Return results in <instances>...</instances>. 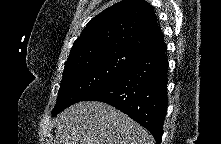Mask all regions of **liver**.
Wrapping results in <instances>:
<instances>
[{
    "label": "liver",
    "instance_id": "obj_1",
    "mask_svg": "<svg viewBox=\"0 0 221 144\" xmlns=\"http://www.w3.org/2000/svg\"><path fill=\"white\" fill-rule=\"evenodd\" d=\"M54 122V144H154L146 129L102 102H79Z\"/></svg>",
    "mask_w": 221,
    "mask_h": 144
}]
</instances>
